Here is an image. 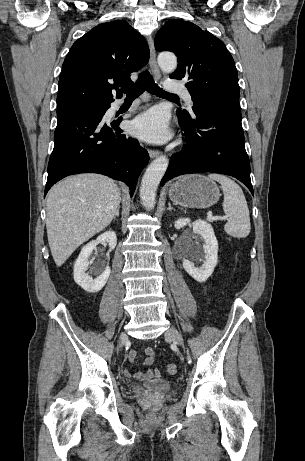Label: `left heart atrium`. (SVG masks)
I'll return each mask as SVG.
<instances>
[{"instance_id":"39dd6f15","label":"left heart atrium","mask_w":305,"mask_h":461,"mask_svg":"<svg viewBox=\"0 0 305 461\" xmlns=\"http://www.w3.org/2000/svg\"><path fill=\"white\" fill-rule=\"evenodd\" d=\"M131 129L134 135L148 142L161 143L171 137L167 114L160 108H152L136 117Z\"/></svg>"}]
</instances>
